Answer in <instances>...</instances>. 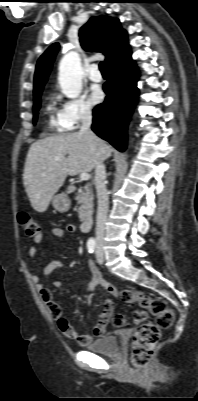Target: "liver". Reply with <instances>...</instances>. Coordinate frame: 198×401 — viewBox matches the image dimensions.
Wrapping results in <instances>:
<instances>
[{
  "label": "liver",
  "instance_id": "liver-1",
  "mask_svg": "<svg viewBox=\"0 0 198 401\" xmlns=\"http://www.w3.org/2000/svg\"><path fill=\"white\" fill-rule=\"evenodd\" d=\"M112 149L96 136L80 132L55 135L34 142L28 151L23 181L32 207L45 212L67 175L90 172Z\"/></svg>",
  "mask_w": 198,
  "mask_h": 401
}]
</instances>
